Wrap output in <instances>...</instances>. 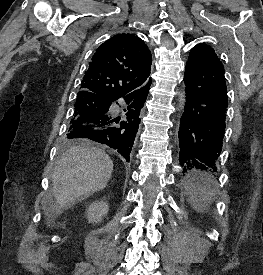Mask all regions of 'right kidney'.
I'll list each match as a JSON object with an SVG mask.
<instances>
[{"label":"right kidney","mask_w":263,"mask_h":275,"mask_svg":"<svg viewBox=\"0 0 263 275\" xmlns=\"http://www.w3.org/2000/svg\"><path fill=\"white\" fill-rule=\"evenodd\" d=\"M108 203L100 200L95 201L88 207V220L92 223H100L108 213Z\"/></svg>","instance_id":"right-kidney-1"}]
</instances>
